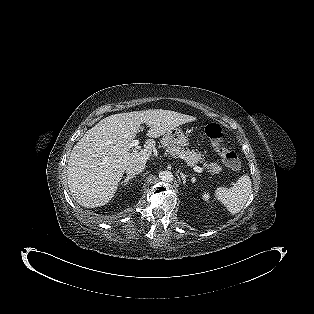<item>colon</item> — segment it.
Returning <instances> with one entry per match:
<instances>
[{
    "instance_id": "obj_1",
    "label": "colon",
    "mask_w": 314,
    "mask_h": 314,
    "mask_svg": "<svg viewBox=\"0 0 314 314\" xmlns=\"http://www.w3.org/2000/svg\"><path fill=\"white\" fill-rule=\"evenodd\" d=\"M205 133L227 166L233 170L239 169L241 162L238 154L224 144L225 133L222 127L217 123H210L206 126Z\"/></svg>"
}]
</instances>
